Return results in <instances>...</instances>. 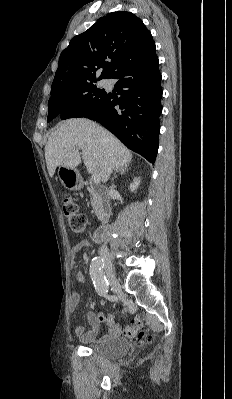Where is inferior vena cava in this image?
<instances>
[{
    "instance_id": "1",
    "label": "inferior vena cava",
    "mask_w": 232,
    "mask_h": 399,
    "mask_svg": "<svg viewBox=\"0 0 232 399\" xmlns=\"http://www.w3.org/2000/svg\"><path fill=\"white\" fill-rule=\"evenodd\" d=\"M99 251L100 256L102 257V259H104V263L111 262V259H108L110 248L107 247V245H102V247L99 248Z\"/></svg>"
}]
</instances>
